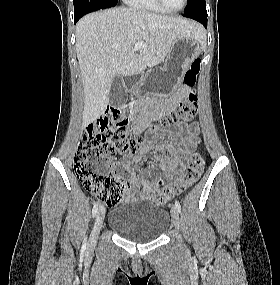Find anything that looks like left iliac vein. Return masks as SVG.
<instances>
[{"instance_id":"1","label":"left iliac vein","mask_w":280,"mask_h":285,"mask_svg":"<svg viewBox=\"0 0 280 285\" xmlns=\"http://www.w3.org/2000/svg\"><path fill=\"white\" fill-rule=\"evenodd\" d=\"M171 222L172 225L175 227L176 230H179L180 228V217H179V211L176 207L171 208Z\"/></svg>"}]
</instances>
